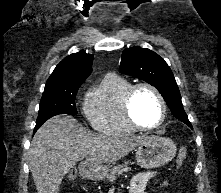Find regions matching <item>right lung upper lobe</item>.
<instances>
[{"instance_id":"right-lung-upper-lobe-1","label":"right lung upper lobe","mask_w":221,"mask_h":193,"mask_svg":"<svg viewBox=\"0 0 221 193\" xmlns=\"http://www.w3.org/2000/svg\"><path fill=\"white\" fill-rule=\"evenodd\" d=\"M93 56L84 51L64 58L48 78L45 89L81 86L92 71Z\"/></svg>"}]
</instances>
